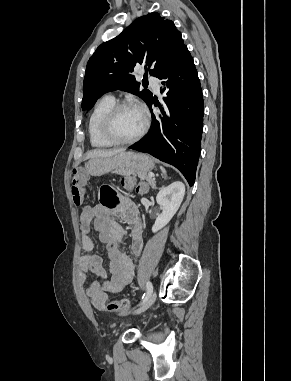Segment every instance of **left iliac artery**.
<instances>
[{"label":"left iliac artery","mask_w":291,"mask_h":381,"mask_svg":"<svg viewBox=\"0 0 291 381\" xmlns=\"http://www.w3.org/2000/svg\"><path fill=\"white\" fill-rule=\"evenodd\" d=\"M146 287H147V294L146 296H143V302L151 295V293L153 292V285L150 281H147L146 283Z\"/></svg>","instance_id":"1"}]
</instances>
